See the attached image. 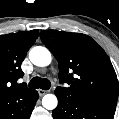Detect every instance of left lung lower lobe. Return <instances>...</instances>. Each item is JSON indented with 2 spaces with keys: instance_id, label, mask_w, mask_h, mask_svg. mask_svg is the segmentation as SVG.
Here are the masks:
<instances>
[{
  "instance_id": "1",
  "label": "left lung lower lobe",
  "mask_w": 119,
  "mask_h": 119,
  "mask_svg": "<svg viewBox=\"0 0 119 119\" xmlns=\"http://www.w3.org/2000/svg\"><path fill=\"white\" fill-rule=\"evenodd\" d=\"M58 106L53 110L54 119H113L116 108L87 103L76 97L56 93Z\"/></svg>"
}]
</instances>
